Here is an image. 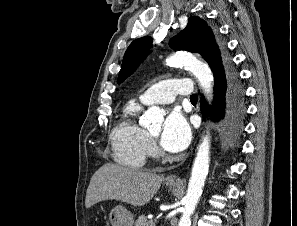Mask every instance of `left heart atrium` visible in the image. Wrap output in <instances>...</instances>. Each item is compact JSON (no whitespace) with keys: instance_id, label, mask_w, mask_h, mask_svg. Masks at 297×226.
<instances>
[{"instance_id":"left-heart-atrium-1","label":"left heart atrium","mask_w":297,"mask_h":226,"mask_svg":"<svg viewBox=\"0 0 297 226\" xmlns=\"http://www.w3.org/2000/svg\"><path fill=\"white\" fill-rule=\"evenodd\" d=\"M191 139L190 127L179 112L170 113L164 123L160 136V144L168 152H180L184 150Z\"/></svg>"}]
</instances>
